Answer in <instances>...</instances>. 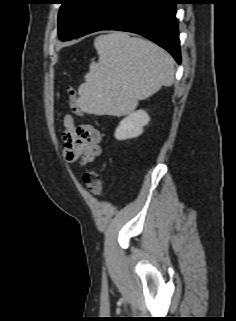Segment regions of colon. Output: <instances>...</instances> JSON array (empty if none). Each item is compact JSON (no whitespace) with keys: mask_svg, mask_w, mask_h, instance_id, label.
I'll use <instances>...</instances> for the list:
<instances>
[{"mask_svg":"<svg viewBox=\"0 0 236 321\" xmlns=\"http://www.w3.org/2000/svg\"><path fill=\"white\" fill-rule=\"evenodd\" d=\"M69 105L73 113L83 115V110L80 107L79 99L76 90L73 87L67 88ZM84 183L90 193L99 196L102 192V177L96 170H88L84 174Z\"/></svg>","mask_w":236,"mask_h":321,"instance_id":"5ec220e1","label":"colon"}]
</instances>
